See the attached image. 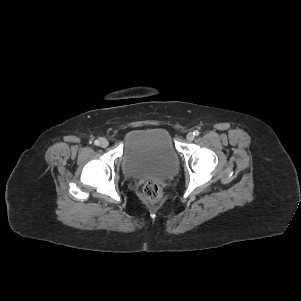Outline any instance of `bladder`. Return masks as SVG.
<instances>
[{
	"label": "bladder",
	"mask_w": 301,
	"mask_h": 301,
	"mask_svg": "<svg viewBox=\"0 0 301 301\" xmlns=\"http://www.w3.org/2000/svg\"><path fill=\"white\" fill-rule=\"evenodd\" d=\"M178 167V154L164 128H140L126 137L121 157V168L126 177L164 180L174 176Z\"/></svg>",
	"instance_id": "31cf9c89"
}]
</instances>
